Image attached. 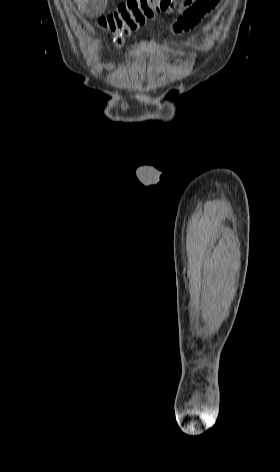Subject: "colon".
Wrapping results in <instances>:
<instances>
[{
  "label": "colon",
  "instance_id": "obj_1",
  "mask_svg": "<svg viewBox=\"0 0 280 472\" xmlns=\"http://www.w3.org/2000/svg\"><path fill=\"white\" fill-rule=\"evenodd\" d=\"M217 0L206 1L211 7ZM183 0H126L113 11L101 17L98 25L114 35V46L121 48L124 38L160 13L171 12Z\"/></svg>",
  "mask_w": 280,
  "mask_h": 472
}]
</instances>
